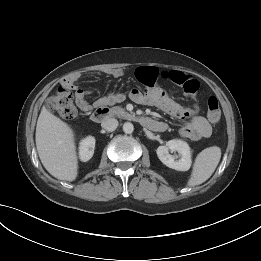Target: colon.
I'll return each mask as SVG.
<instances>
[{
  "label": "colon",
  "mask_w": 261,
  "mask_h": 261,
  "mask_svg": "<svg viewBox=\"0 0 261 261\" xmlns=\"http://www.w3.org/2000/svg\"><path fill=\"white\" fill-rule=\"evenodd\" d=\"M73 86L65 82L61 84L56 93L47 101V107L50 111L57 113L61 118L70 120L73 119L77 110L73 103ZM207 118L210 123L216 124L221 119V110L219 102L215 96L208 99Z\"/></svg>",
  "instance_id": "obj_1"
}]
</instances>
